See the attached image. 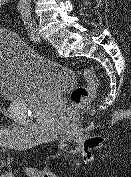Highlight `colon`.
Here are the masks:
<instances>
[{
    "label": "colon",
    "mask_w": 131,
    "mask_h": 177,
    "mask_svg": "<svg viewBox=\"0 0 131 177\" xmlns=\"http://www.w3.org/2000/svg\"><path fill=\"white\" fill-rule=\"evenodd\" d=\"M10 0H0V10L7 8ZM81 75L86 81V86L75 87L70 94L69 110L75 111L88 104L95 96L99 85L96 74L88 69L82 68Z\"/></svg>",
    "instance_id": "obj_1"
}]
</instances>
